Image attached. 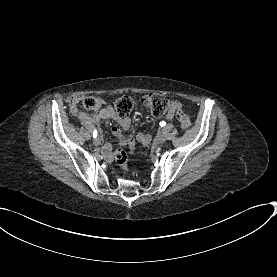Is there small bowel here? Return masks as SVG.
I'll return each mask as SVG.
<instances>
[{
  "instance_id": "c3829d8e",
  "label": "small bowel",
  "mask_w": 277,
  "mask_h": 277,
  "mask_svg": "<svg viewBox=\"0 0 277 277\" xmlns=\"http://www.w3.org/2000/svg\"><path fill=\"white\" fill-rule=\"evenodd\" d=\"M80 97H75L72 99L70 104V112L82 120L83 122H99L101 120H115L123 130H128L131 126V119L127 117H120L116 114L115 109L106 104L104 100L97 98V110L94 113H88L83 111L79 107ZM181 112V105L179 102H174L169 113L167 114L168 120H173L177 118V115ZM113 134L121 140H123L124 145L133 147L136 144V140L133 137H126L124 138L122 133L118 129H113ZM137 139L142 144L146 145L150 142L151 136L148 134L139 133L137 135ZM105 147L102 149V152L106 154L107 159L110 162L115 160L114 153L112 152V140L107 138L105 140Z\"/></svg>"
}]
</instances>
